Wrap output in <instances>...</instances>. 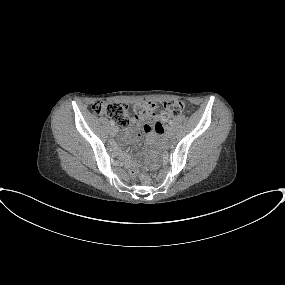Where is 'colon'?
<instances>
[{"label": "colon", "mask_w": 285, "mask_h": 285, "mask_svg": "<svg viewBox=\"0 0 285 285\" xmlns=\"http://www.w3.org/2000/svg\"><path fill=\"white\" fill-rule=\"evenodd\" d=\"M92 110L96 114L108 116L114 123L126 127L130 123V113L128 106L122 103L97 101L92 105ZM185 110L193 111L192 105H187L183 101L165 102L160 110L152 102H140L133 106V116L147 118L153 121H167L169 118L178 116ZM141 179L146 182L148 175L141 174Z\"/></svg>", "instance_id": "1"}]
</instances>
